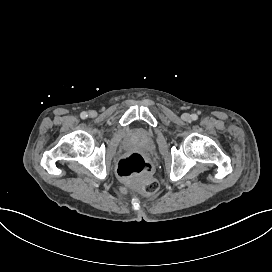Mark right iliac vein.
Listing matches in <instances>:
<instances>
[{
    "mask_svg": "<svg viewBox=\"0 0 272 272\" xmlns=\"http://www.w3.org/2000/svg\"><path fill=\"white\" fill-rule=\"evenodd\" d=\"M89 115H90V116H94V115H95V112H94V111H90Z\"/></svg>",
    "mask_w": 272,
    "mask_h": 272,
    "instance_id": "obj_1",
    "label": "right iliac vein"
}]
</instances>
